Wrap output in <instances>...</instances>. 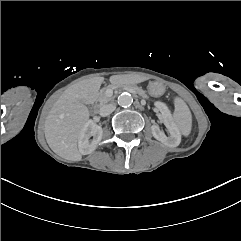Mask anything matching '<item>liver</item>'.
Returning a JSON list of instances; mask_svg holds the SVG:
<instances>
[{
	"instance_id": "1",
	"label": "liver",
	"mask_w": 241,
	"mask_h": 241,
	"mask_svg": "<svg viewBox=\"0 0 241 241\" xmlns=\"http://www.w3.org/2000/svg\"><path fill=\"white\" fill-rule=\"evenodd\" d=\"M116 77L114 75L109 78L111 84H115ZM104 79L97 76L74 83L49 111L45 121V137L50 148L60 157L71 161L82 160L78 140L90 118L86 104L97 99Z\"/></svg>"
}]
</instances>
